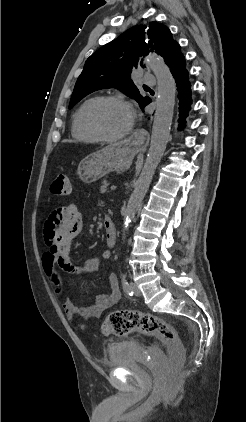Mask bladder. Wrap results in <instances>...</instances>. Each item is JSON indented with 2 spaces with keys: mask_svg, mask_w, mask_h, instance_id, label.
Returning <instances> with one entry per match:
<instances>
[{
  "mask_svg": "<svg viewBox=\"0 0 246 422\" xmlns=\"http://www.w3.org/2000/svg\"><path fill=\"white\" fill-rule=\"evenodd\" d=\"M142 352V347L136 339H125L110 343L107 347L108 364L114 368H124L135 364ZM152 359L159 368L167 363L165 353L160 349L151 351Z\"/></svg>",
  "mask_w": 246,
  "mask_h": 422,
  "instance_id": "bladder-1",
  "label": "bladder"
}]
</instances>
